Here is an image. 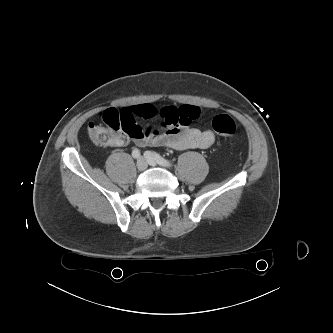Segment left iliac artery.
Listing matches in <instances>:
<instances>
[{"label": "left iliac artery", "mask_w": 333, "mask_h": 333, "mask_svg": "<svg viewBox=\"0 0 333 333\" xmlns=\"http://www.w3.org/2000/svg\"><path fill=\"white\" fill-rule=\"evenodd\" d=\"M144 155H145V157L152 156L158 162V164H160L162 166L171 167L173 165L172 162L166 160L158 153L146 151Z\"/></svg>", "instance_id": "left-iliac-artery-1"}]
</instances>
